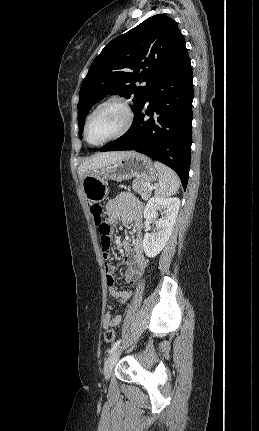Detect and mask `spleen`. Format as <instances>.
I'll list each match as a JSON object with an SVG mask.
<instances>
[{
	"label": "spleen",
	"instance_id": "obj_1",
	"mask_svg": "<svg viewBox=\"0 0 259 431\" xmlns=\"http://www.w3.org/2000/svg\"><path fill=\"white\" fill-rule=\"evenodd\" d=\"M154 166L158 172L159 186L156 190V195L159 197H168L174 195L179 187L180 180L177 174L166 165L155 162Z\"/></svg>",
	"mask_w": 259,
	"mask_h": 431
}]
</instances>
